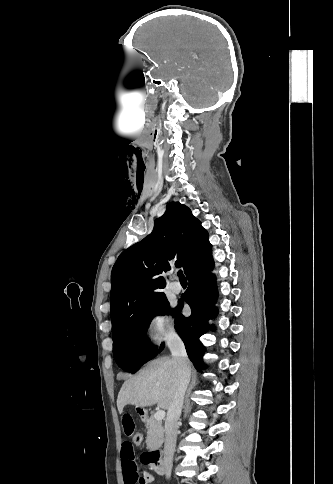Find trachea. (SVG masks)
Returning a JSON list of instances; mask_svg holds the SVG:
<instances>
[{"label": "trachea", "instance_id": "obj_1", "mask_svg": "<svg viewBox=\"0 0 333 484\" xmlns=\"http://www.w3.org/2000/svg\"><path fill=\"white\" fill-rule=\"evenodd\" d=\"M178 277H179V279H180V280H186V278H185V276H184V274H183L182 270H179V271H178Z\"/></svg>", "mask_w": 333, "mask_h": 484}]
</instances>
